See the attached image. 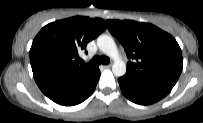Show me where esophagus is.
I'll use <instances>...</instances> for the list:
<instances>
[{
	"label": "esophagus",
	"instance_id": "34e87169",
	"mask_svg": "<svg viewBox=\"0 0 203 123\" xmlns=\"http://www.w3.org/2000/svg\"><path fill=\"white\" fill-rule=\"evenodd\" d=\"M111 64H107V65H104V68H106V69H109V68H111Z\"/></svg>",
	"mask_w": 203,
	"mask_h": 123
}]
</instances>
